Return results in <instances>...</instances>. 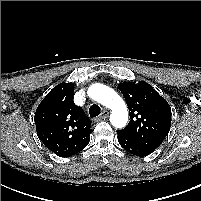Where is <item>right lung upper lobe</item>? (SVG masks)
<instances>
[{
    "label": "right lung upper lobe",
    "instance_id": "cb5924a9",
    "mask_svg": "<svg viewBox=\"0 0 201 201\" xmlns=\"http://www.w3.org/2000/svg\"><path fill=\"white\" fill-rule=\"evenodd\" d=\"M74 84L60 83L41 101L35 112L39 139L53 153L69 157L90 141L91 121L73 102Z\"/></svg>",
    "mask_w": 201,
    "mask_h": 201
}]
</instances>
